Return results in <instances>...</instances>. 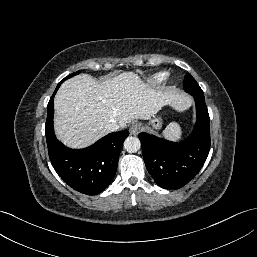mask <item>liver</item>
<instances>
[{
  "label": "liver",
  "mask_w": 257,
  "mask_h": 257,
  "mask_svg": "<svg viewBox=\"0 0 257 257\" xmlns=\"http://www.w3.org/2000/svg\"><path fill=\"white\" fill-rule=\"evenodd\" d=\"M183 95L156 91L134 72H124L101 83L88 74L65 81L54 98L57 138L71 148H84L108 132L116 122L125 127L134 119L150 120L163 106L181 110Z\"/></svg>",
  "instance_id": "liver-1"
}]
</instances>
